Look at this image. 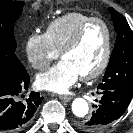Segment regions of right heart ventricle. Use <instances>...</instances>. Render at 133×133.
I'll return each mask as SVG.
<instances>
[{
  "label": "right heart ventricle",
  "mask_w": 133,
  "mask_h": 133,
  "mask_svg": "<svg viewBox=\"0 0 133 133\" xmlns=\"http://www.w3.org/2000/svg\"><path fill=\"white\" fill-rule=\"evenodd\" d=\"M92 18L81 12H69L53 21L46 28V36L52 46L61 52L63 47L71 40L80 26Z\"/></svg>",
  "instance_id": "right-heart-ventricle-1"
}]
</instances>
